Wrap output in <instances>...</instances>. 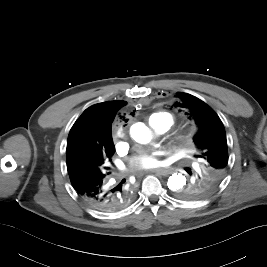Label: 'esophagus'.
<instances>
[{
	"label": "esophagus",
	"instance_id": "esophagus-1",
	"mask_svg": "<svg viewBox=\"0 0 267 267\" xmlns=\"http://www.w3.org/2000/svg\"><path fill=\"white\" fill-rule=\"evenodd\" d=\"M153 173H156L161 176H167L172 173L170 169L167 168H157L152 170Z\"/></svg>",
	"mask_w": 267,
	"mask_h": 267
}]
</instances>
